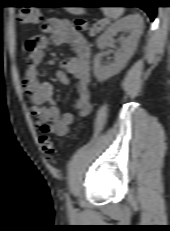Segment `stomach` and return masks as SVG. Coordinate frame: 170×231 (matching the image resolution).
<instances>
[{"label": "stomach", "mask_w": 170, "mask_h": 231, "mask_svg": "<svg viewBox=\"0 0 170 231\" xmlns=\"http://www.w3.org/2000/svg\"><path fill=\"white\" fill-rule=\"evenodd\" d=\"M66 9L70 12H73V13H81L82 12V8H80V7H68Z\"/></svg>", "instance_id": "1"}]
</instances>
